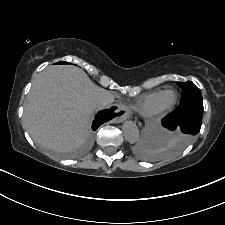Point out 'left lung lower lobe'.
I'll use <instances>...</instances> for the list:
<instances>
[{
  "instance_id": "obj_1",
  "label": "left lung lower lobe",
  "mask_w": 225,
  "mask_h": 225,
  "mask_svg": "<svg viewBox=\"0 0 225 225\" xmlns=\"http://www.w3.org/2000/svg\"><path fill=\"white\" fill-rule=\"evenodd\" d=\"M203 104H190L178 107L162 120L169 130L178 129L187 137H194L201 128Z\"/></svg>"
}]
</instances>
